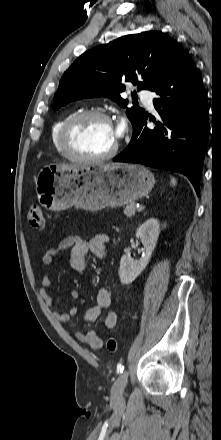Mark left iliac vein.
<instances>
[{"label": "left iliac vein", "instance_id": "1", "mask_svg": "<svg viewBox=\"0 0 221 440\" xmlns=\"http://www.w3.org/2000/svg\"><path fill=\"white\" fill-rule=\"evenodd\" d=\"M127 381H128V373L125 371L119 375L118 379L115 381L112 387V391H111L112 399L117 400L122 398L124 390L127 385Z\"/></svg>", "mask_w": 221, "mask_h": 440}]
</instances>
